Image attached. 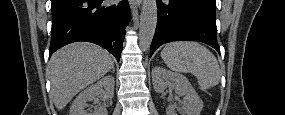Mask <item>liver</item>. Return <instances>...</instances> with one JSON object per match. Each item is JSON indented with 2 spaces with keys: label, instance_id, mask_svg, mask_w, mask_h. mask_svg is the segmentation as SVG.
<instances>
[{
  "label": "liver",
  "instance_id": "1",
  "mask_svg": "<svg viewBox=\"0 0 285 115\" xmlns=\"http://www.w3.org/2000/svg\"><path fill=\"white\" fill-rule=\"evenodd\" d=\"M112 64L110 54L91 43H73L55 52L48 66L56 108L62 110L78 92L109 72Z\"/></svg>",
  "mask_w": 285,
  "mask_h": 115
}]
</instances>
